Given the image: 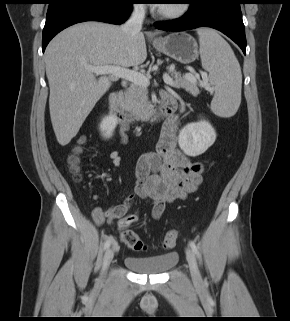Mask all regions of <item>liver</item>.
<instances>
[{
	"label": "liver",
	"mask_w": 290,
	"mask_h": 321,
	"mask_svg": "<svg viewBox=\"0 0 290 321\" xmlns=\"http://www.w3.org/2000/svg\"><path fill=\"white\" fill-rule=\"evenodd\" d=\"M122 26L82 22L56 35L45 51L50 96V117L61 146L76 136L97 101L109 90L114 77L96 79L88 67H136L145 62L142 32L127 35Z\"/></svg>",
	"instance_id": "6515ba94"
}]
</instances>
